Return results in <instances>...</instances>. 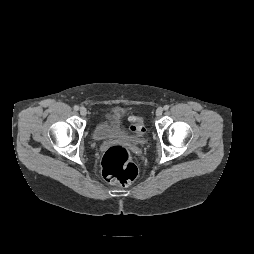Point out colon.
I'll return each mask as SVG.
<instances>
[{"mask_svg":"<svg viewBox=\"0 0 254 254\" xmlns=\"http://www.w3.org/2000/svg\"><path fill=\"white\" fill-rule=\"evenodd\" d=\"M132 131H143L142 120L133 118ZM102 172L104 178L121 185L131 184L137 177L138 170L132 162L129 150L122 145L110 146L102 158Z\"/></svg>","mask_w":254,"mask_h":254,"instance_id":"obj_1","label":"colon"}]
</instances>
